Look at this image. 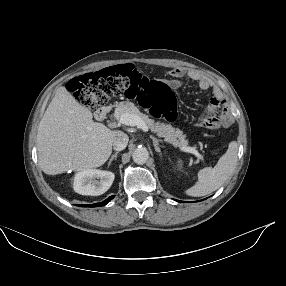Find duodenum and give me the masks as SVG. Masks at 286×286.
<instances>
[{"mask_svg": "<svg viewBox=\"0 0 286 286\" xmlns=\"http://www.w3.org/2000/svg\"><path fill=\"white\" fill-rule=\"evenodd\" d=\"M111 111V108L108 107V106H104V107H101L99 108L96 112H95V115L96 117L101 120V121H104L107 114Z\"/></svg>", "mask_w": 286, "mask_h": 286, "instance_id": "410a0bca", "label": "duodenum"}]
</instances>
